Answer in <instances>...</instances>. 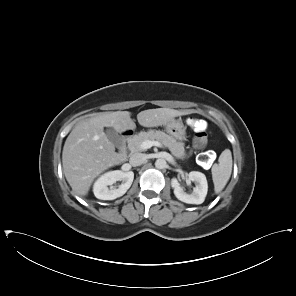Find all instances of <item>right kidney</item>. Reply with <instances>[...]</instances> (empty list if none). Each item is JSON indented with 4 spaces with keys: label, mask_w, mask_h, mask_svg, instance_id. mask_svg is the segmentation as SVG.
Segmentation results:
<instances>
[{
    "label": "right kidney",
    "mask_w": 296,
    "mask_h": 296,
    "mask_svg": "<svg viewBox=\"0 0 296 296\" xmlns=\"http://www.w3.org/2000/svg\"><path fill=\"white\" fill-rule=\"evenodd\" d=\"M133 179L134 173L132 171H109L101 175L94 183V195L100 200H114L127 192L133 182ZM116 181H122L121 185H119L117 189L112 187ZM108 186H110V188Z\"/></svg>",
    "instance_id": "ca27d5eb"
}]
</instances>
